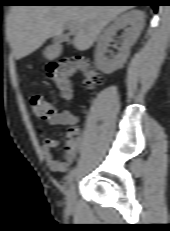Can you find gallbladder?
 Returning <instances> with one entry per match:
<instances>
[{"label": "gallbladder", "instance_id": "bac80fb5", "mask_svg": "<svg viewBox=\"0 0 170 231\" xmlns=\"http://www.w3.org/2000/svg\"><path fill=\"white\" fill-rule=\"evenodd\" d=\"M66 38H67L66 36H61L60 38H57L56 40H57V41H60V40L66 39Z\"/></svg>", "mask_w": 170, "mask_h": 231}]
</instances>
